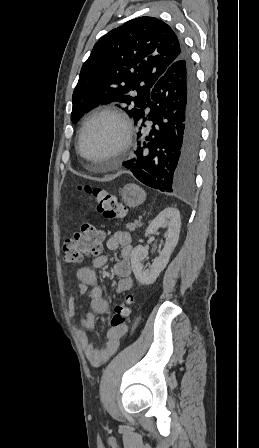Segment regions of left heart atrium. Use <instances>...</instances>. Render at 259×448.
<instances>
[{"mask_svg":"<svg viewBox=\"0 0 259 448\" xmlns=\"http://www.w3.org/2000/svg\"><path fill=\"white\" fill-rule=\"evenodd\" d=\"M153 155V151L152 150H149L148 151V156L150 157V156H152Z\"/></svg>","mask_w":259,"mask_h":448,"instance_id":"obj_1","label":"left heart atrium"}]
</instances>
